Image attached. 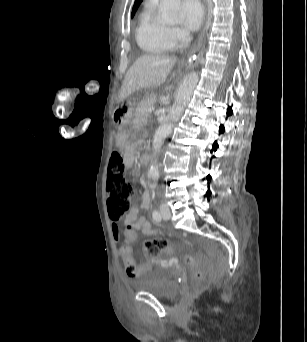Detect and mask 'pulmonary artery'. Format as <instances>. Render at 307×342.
<instances>
[{
	"instance_id": "obj_1",
	"label": "pulmonary artery",
	"mask_w": 307,
	"mask_h": 342,
	"mask_svg": "<svg viewBox=\"0 0 307 342\" xmlns=\"http://www.w3.org/2000/svg\"><path fill=\"white\" fill-rule=\"evenodd\" d=\"M152 2H156V1H152ZM153 13V9L149 8L146 12H145V16L149 17L151 14Z\"/></svg>"
}]
</instances>
